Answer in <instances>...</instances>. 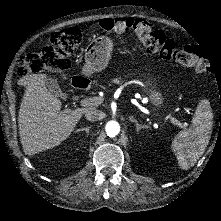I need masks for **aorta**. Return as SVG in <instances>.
<instances>
[{
  "label": "aorta",
  "mask_w": 221,
  "mask_h": 221,
  "mask_svg": "<svg viewBox=\"0 0 221 221\" xmlns=\"http://www.w3.org/2000/svg\"><path fill=\"white\" fill-rule=\"evenodd\" d=\"M105 130L109 137H115L120 132V125L116 121H109L106 123Z\"/></svg>",
  "instance_id": "obj_1"
}]
</instances>
